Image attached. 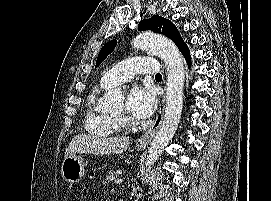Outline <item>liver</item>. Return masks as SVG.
I'll return each instance as SVG.
<instances>
[{
  "label": "liver",
  "mask_w": 271,
  "mask_h": 201,
  "mask_svg": "<svg viewBox=\"0 0 271 201\" xmlns=\"http://www.w3.org/2000/svg\"><path fill=\"white\" fill-rule=\"evenodd\" d=\"M129 145V138L124 136L100 138L88 134H78L69 143L64 159L83 153L95 155L120 154L126 151Z\"/></svg>",
  "instance_id": "obj_1"
}]
</instances>
